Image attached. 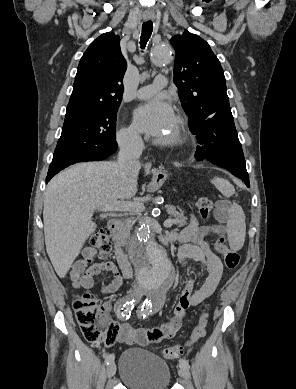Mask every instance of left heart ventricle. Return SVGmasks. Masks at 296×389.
<instances>
[{
  "instance_id": "obj_1",
  "label": "left heart ventricle",
  "mask_w": 296,
  "mask_h": 389,
  "mask_svg": "<svg viewBox=\"0 0 296 389\" xmlns=\"http://www.w3.org/2000/svg\"><path fill=\"white\" fill-rule=\"evenodd\" d=\"M172 129H173V125H172L171 128H170L166 133H164L162 136H167V135H169V134L171 133Z\"/></svg>"
}]
</instances>
